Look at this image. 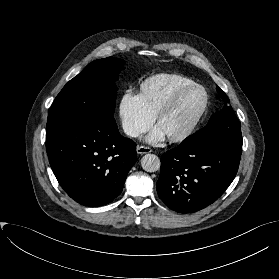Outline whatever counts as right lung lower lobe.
Returning <instances> with one entry per match:
<instances>
[{"label": "right lung lower lobe", "instance_id": "1", "mask_svg": "<svg viewBox=\"0 0 279 279\" xmlns=\"http://www.w3.org/2000/svg\"><path fill=\"white\" fill-rule=\"evenodd\" d=\"M51 168L63 190L79 204L111 203L137 161L136 144L116 122L90 118L46 138Z\"/></svg>", "mask_w": 279, "mask_h": 279}]
</instances>
